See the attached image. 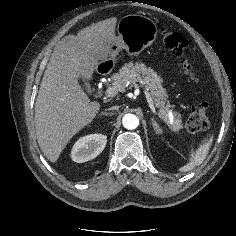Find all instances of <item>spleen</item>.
Wrapping results in <instances>:
<instances>
[{
    "mask_svg": "<svg viewBox=\"0 0 236 236\" xmlns=\"http://www.w3.org/2000/svg\"><path fill=\"white\" fill-rule=\"evenodd\" d=\"M213 142V135L209 136L203 141L199 148L191 154V160L189 163L180 168L181 172H187L199 166L206 159L209 149Z\"/></svg>",
    "mask_w": 236,
    "mask_h": 236,
    "instance_id": "obj_1",
    "label": "spleen"
}]
</instances>
